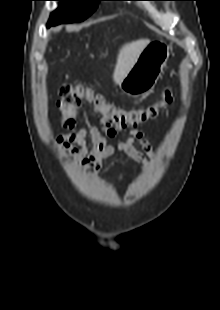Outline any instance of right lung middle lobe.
Listing matches in <instances>:
<instances>
[{
  "label": "right lung middle lobe",
  "mask_w": 220,
  "mask_h": 310,
  "mask_svg": "<svg viewBox=\"0 0 220 310\" xmlns=\"http://www.w3.org/2000/svg\"><path fill=\"white\" fill-rule=\"evenodd\" d=\"M59 8L55 10L48 21V27L60 23L80 22L89 17L102 0H57Z\"/></svg>",
  "instance_id": "dd1d6c3e"
}]
</instances>
